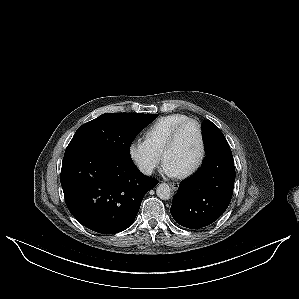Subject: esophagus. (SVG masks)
<instances>
[{
    "label": "esophagus",
    "mask_w": 299,
    "mask_h": 299,
    "mask_svg": "<svg viewBox=\"0 0 299 299\" xmlns=\"http://www.w3.org/2000/svg\"><path fill=\"white\" fill-rule=\"evenodd\" d=\"M170 185L172 186V189L176 190L177 189V185L174 183H170Z\"/></svg>",
    "instance_id": "esophagus-1"
}]
</instances>
